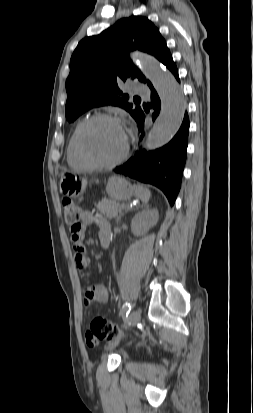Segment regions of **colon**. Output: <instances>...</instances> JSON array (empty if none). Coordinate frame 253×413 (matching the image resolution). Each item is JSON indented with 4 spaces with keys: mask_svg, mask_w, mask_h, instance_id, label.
Returning <instances> with one entry per match:
<instances>
[{
    "mask_svg": "<svg viewBox=\"0 0 253 413\" xmlns=\"http://www.w3.org/2000/svg\"><path fill=\"white\" fill-rule=\"evenodd\" d=\"M64 219L72 229L80 224L81 210L71 199L64 198L62 201ZM121 335V330L103 317H95L91 320L86 338L89 341L114 340Z\"/></svg>",
    "mask_w": 253,
    "mask_h": 413,
    "instance_id": "1",
    "label": "colon"
}]
</instances>
